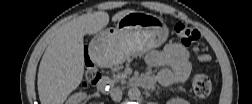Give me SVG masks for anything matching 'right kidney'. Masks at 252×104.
<instances>
[{
  "mask_svg": "<svg viewBox=\"0 0 252 104\" xmlns=\"http://www.w3.org/2000/svg\"><path fill=\"white\" fill-rule=\"evenodd\" d=\"M87 99V94L84 92L75 93L68 98L67 104H81Z\"/></svg>",
  "mask_w": 252,
  "mask_h": 104,
  "instance_id": "right-kidney-1",
  "label": "right kidney"
}]
</instances>
